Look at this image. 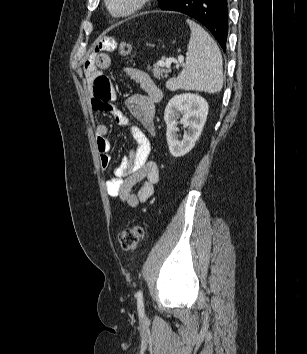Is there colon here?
Returning <instances> with one entry per match:
<instances>
[{
    "mask_svg": "<svg viewBox=\"0 0 307 354\" xmlns=\"http://www.w3.org/2000/svg\"><path fill=\"white\" fill-rule=\"evenodd\" d=\"M121 55L129 56L132 51V46L128 42H121L118 46ZM144 236L142 225H132L119 234V243L124 251H133L137 248L139 242Z\"/></svg>",
    "mask_w": 307,
    "mask_h": 354,
    "instance_id": "colon-1",
    "label": "colon"
}]
</instances>
